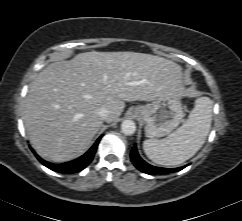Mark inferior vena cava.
Listing matches in <instances>:
<instances>
[{
	"instance_id": "inferior-vena-cava-1",
	"label": "inferior vena cava",
	"mask_w": 242,
	"mask_h": 221,
	"mask_svg": "<svg viewBox=\"0 0 242 221\" xmlns=\"http://www.w3.org/2000/svg\"><path fill=\"white\" fill-rule=\"evenodd\" d=\"M109 114H110L109 110H107L105 108H101V109L98 110V115L100 116V118L102 120L106 121L109 117Z\"/></svg>"
}]
</instances>
